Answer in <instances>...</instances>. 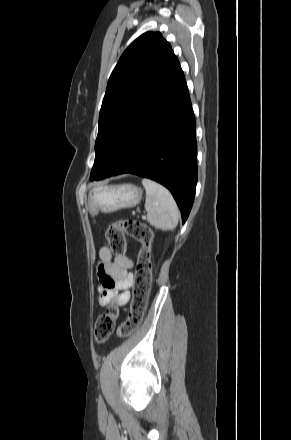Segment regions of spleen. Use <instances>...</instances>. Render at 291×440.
Instances as JSON below:
<instances>
[{"instance_id":"obj_1","label":"spleen","mask_w":291,"mask_h":440,"mask_svg":"<svg viewBox=\"0 0 291 440\" xmlns=\"http://www.w3.org/2000/svg\"><path fill=\"white\" fill-rule=\"evenodd\" d=\"M146 190L145 209L150 225L157 229L173 230L179 219V210L171 193L164 186L144 178Z\"/></svg>"}]
</instances>
